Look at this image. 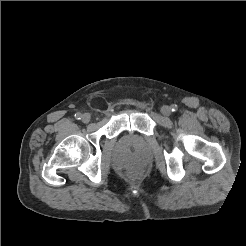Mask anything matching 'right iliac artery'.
Wrapping results in <instances>:
<instances>
[{"instance_id":"obj_1","label":"right iliac artery","mask_w":246,"mask_h":246,"mask_svg":"<svg viewBox=\"0 0 246 246\" xmlns=\"http://www.w3.org/2000/svg\"><path fill=\"white\" fill-rule=\"evenodd\" d=\"M75 118H76L77 120H80V119L82 118V114H81V113H76V114H75Z\"/></svg>"}]
</instances>
